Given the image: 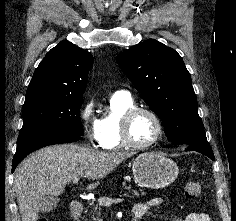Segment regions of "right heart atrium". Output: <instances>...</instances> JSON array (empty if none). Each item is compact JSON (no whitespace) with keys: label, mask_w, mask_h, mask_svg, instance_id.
I'll return each instance as SVG.
<instances>
[{"label":"right heart atrium","mask_w":236,"mask_h":221,"mask_svg":"<svg viewBox=\"0 0 236 221\" xmlns=\"http://www.w3.org/2000/svg\"><path fill=\"white\" fill-rule=\"evenodd\" d=\"M84 135L92 146H101L99 119L95 113V102L87 100L79 112Z\"/></svg>","instance_id":"right-heart-atrium-1"}]
</instances>
